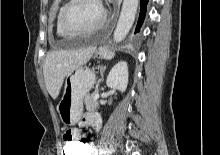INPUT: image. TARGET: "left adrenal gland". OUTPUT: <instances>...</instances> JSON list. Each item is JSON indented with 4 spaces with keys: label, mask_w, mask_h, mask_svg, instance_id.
Wrapping results in <instances>:
<instances>
[{
    "label": "left adrenal gland",
    "mask_w": 220,
    "mask_h": 155,
    "mask_svg": "<svg viewBox=\"0 0 220 155\" xmlns=\"http://www.w3.org/2000/svg\"><path fill=\"white\" fill-rule=\"evenodd\" d=\"M105 69H106V66H101V67H100L101 78H100V80H99V83L103 81Z\"/></svg>",
    "instance_id": "left-adrenal-gland-1"
}]
</instances>
